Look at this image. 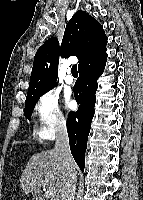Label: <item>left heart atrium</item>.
I'll return each instance as SVG.
<instances>
[{"label":"left heart atrium","instance_id":"1","mask_svg":"<svg viewBox=\"0 0 143 200\" xmlns=\"http://www.w3.org/2000/svg\"><path fill=\"white\" fill-rule=\"evenodd\" d=\"M75 106V102L73 99L70 98V96H67L66 98V107L68 109H72Z\"/></svg>","mask_w":143,"mask_h":200}]
</instances>
